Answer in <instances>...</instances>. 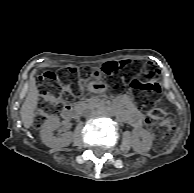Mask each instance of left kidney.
Here are the masks:
<instances>
[{"instance_id": "obj_1", "label": "left kidney", "mask_w": 194, "mask_h": 193, "mask_svg": "<svg viewBox=\"0 0 194 193\" xmlns=\"http://www.w3.org/2000/svg\"><path fill=\"white\" fill-rule=\"evenodd\" d=\"M134 135L141 137L142 141L135 139L133 149L139 153L149 151L153 143V136L145 129L136 130Z\"/></svg>"}]
</instances>
